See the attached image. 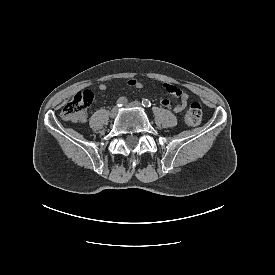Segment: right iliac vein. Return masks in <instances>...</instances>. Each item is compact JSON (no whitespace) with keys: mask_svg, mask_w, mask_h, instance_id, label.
Wrapping results in <instances>:
<instances>
[{"mask_svg":"<svg viewBox=\"0 0 275 275\" xmlns=\"http://www.w3.org/2000/svg\"><path fill=\"white\" fill-rule=\"evenodd\" d=\"M117 112H118V108H117V107H114V108L111 110V112H110V117H111V118L116 117Z\"/></svg>","mask_w":275,"mask_h":275,"instance_id":"63e3f726","label":"right iliac vein"}]
</instances>
